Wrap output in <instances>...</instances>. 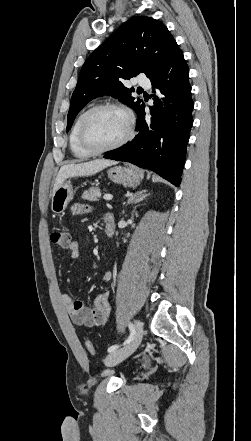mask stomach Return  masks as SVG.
<instances>
[{"mask_svg": "<svg viewBox=\"0 0 251 441\" xmlns=\"http://www.w3.org/2000/svg\"><path fill=\"white\" fill-rule=\"evenodd\" d=\"M108 177L114 183L125 187H136L140 183L138 172L130 167L116 166L108 170ZM74 191L70 181L63 182L53 193L51 199V210L55 214L62 213L73 199Z\"/></svg>", "mask_w": 251, "mask_h": 441, "instance_id": "obj_1", "label": "stomach"}]
</instances>
